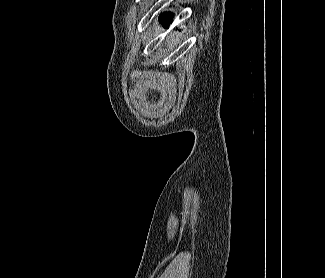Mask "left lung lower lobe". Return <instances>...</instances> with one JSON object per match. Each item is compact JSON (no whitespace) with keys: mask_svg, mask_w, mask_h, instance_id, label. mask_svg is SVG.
Wrapping results in <instances>:
<instances>
[{"mask_svg":"<svg viewBox=\"0 0 325 278\" xmlns=\"http://www.w3.org/2000/svg\"><path fill=\"white\" fill-rule=\"evenodd\" d=\"M172 13H163L159 17V21L163 24L164 27L169 26V22L172 21Z\"/></svg>","mask_w":325,"mask_h":278,"instance_id":"1","label":"left lung lower lobe"}]
</instances>
